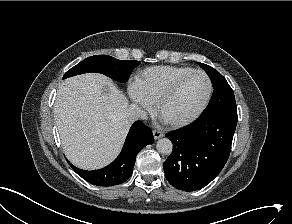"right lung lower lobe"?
Here are the masks:
<instances>
[{
	"mask_svg": "<svg viewBox=\"0 0 292 224\" xmlns=\"http://www.w3.org/2000/svg\"><path fill=\"white\" fill-rule=\"evenodd\" d=\"M153 142L151 130L141 121H136L130 128L120 155L110 165L87 171L69 164L79 176L93 185L114 186L125 182L132 175L137 154Z\"/></svg>",
	"mask_w": 292,
	"mask_h": 224,
	"instance_id": "right-lung-lower-lobe-1",
	"label": "right lung lower lobe"
}]
</instances>
